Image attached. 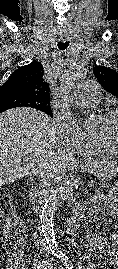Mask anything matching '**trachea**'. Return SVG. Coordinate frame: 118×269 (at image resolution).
Here are the masks:
<instances>
[{"instance_id": "1", "label": "trachea", "mask_w": 118, "mask_h": 269, "mask_svg": "<svg viewBox=\"0 0 118 269\" xmlns=\"http://www.w3.org/2000/svg\"><path fill=\"white\" fill-rule=\"evenodd\" d=\"M57 46L60 50H65L69 46V41L59 42Z\"/></svg>"}]
</instances>
